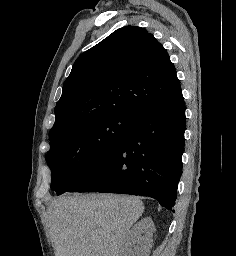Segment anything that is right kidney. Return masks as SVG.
<instances>
[{
    "label": "right kidney",
    "instance_id": "right-kidney-1",
    "mask_svg": "<svg viewBox=\"0 0 236 256\" xmlns=\"http://www.w3.org/2000/svg\"><path fill=\"white\" fill-rule=\"evenodd\" d=\"M155 232L151 218H143L127 234L121 256H149ZM143 234V236H141ZM133 248V250H132Z\"/></svg>",
    "mask_w": 236,
    "mask_h": 256
}]
</instances>
